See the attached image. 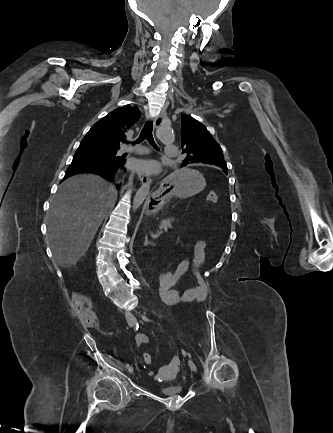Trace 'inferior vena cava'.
Wrapping results in <instances>:
<instances>
[{"label": "inferior vena cava", "mask_w": 333, "mask_h": 433, "mask_svg": "<svg viewBox=\"0 0 333 433\" xmlns=\"http://www.w3.org/2000/svg\"><path fill=\"white\" fill-rule=\"evenodd\" d=\"M125 318H126L127 322H131V321L135 320L134 315L132 313H130V312H126L125 313Z\"/></svg>", "instance_id": "1"}]
</instances>
